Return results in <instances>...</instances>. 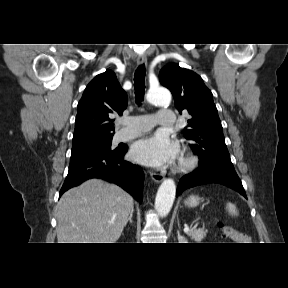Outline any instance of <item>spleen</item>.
<instances>
[{
  "label": "spleen",
  "instance_id": "spleen-1",
  "mask_svg": "<svg viewBox=\"0 0 288 288\" xmlns=\"http://www.w3.org/2000/svg\"><path fill=\"white\" fill-rule=\"evenodd\" d=\"M226 208L231 215H237L238 214L236 206L234 204L227 203Z\"/></svg>",
  "mask_w": 288,
  "mask_h": 288
}]
</instances>
